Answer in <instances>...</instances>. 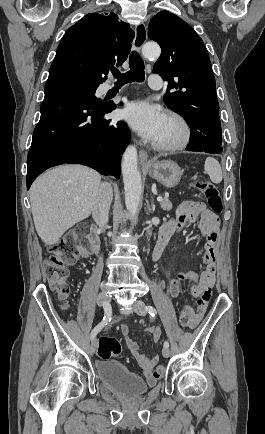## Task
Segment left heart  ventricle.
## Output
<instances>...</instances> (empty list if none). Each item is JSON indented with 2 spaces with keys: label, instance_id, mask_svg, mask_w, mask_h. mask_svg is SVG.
Returning <instances> with one entry per match:
<instances>
[{
  "label": "left heart ventricle",
  "instance_id": "obj_1",
  "mask_svg": "<svg viewBox=\"0 0 265 434\" xmlns=\"http://www.w3.org/2000/svg\"><path fill=\"white\" fill-rule=\"evenodd\" d=\"M177 129L174 125L170 124L168 121L160 135V138L156 142L157 144H167L170 143L176 136Z\"/></svg>",
  "mask_w": 265,
  "mask_h": 434
}]
</instances>
